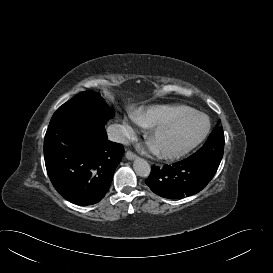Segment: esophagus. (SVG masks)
Here are the masks:
<instances>
[{
    "instance_id": "esophagus-1",
    "label": "esophagus",
    "mask_w": 273,
    "mask_h": 273,
    "mask_svg": "<svg viewBox=\"0 0 273 273\" xmlns=\"http://www.w3.org/2000/svg\"><path fill=\"white\" fill-rule=\"evenodd\" d=\"M125 157L128 160H134L135 158H137V155L135 153H133L132 151H127L125 154Z\"/></svg>"
}]
</instances>
